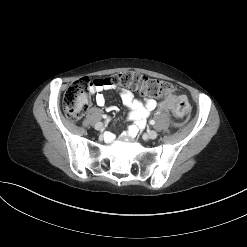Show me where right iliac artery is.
Here are the masks:
<instances>
[{"label":"right iliac artery","instance_id":"82829eb1","mask_svg":"<svg viewBox=\"0 0 247 247\" xmlns=\"http://www.w3.org/2000/svg\"><path fill=\"white\" fill-rule=\"evenodd\" d=\"M103 118H104V119H108V118H107V115H103Z\"/></svg>","mask_w":247,"mask_h":247}]
</instances>
